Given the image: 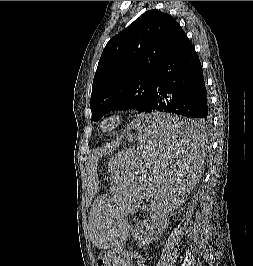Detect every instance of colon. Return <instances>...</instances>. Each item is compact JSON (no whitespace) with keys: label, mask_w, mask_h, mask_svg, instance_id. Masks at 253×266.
<instances>
[{"label":"colon","mask_w":253,"mask_h":266,"mask_svg":"<svg viewBox=\"0 0 253 266\" xmlns=\"http://www.w3.org/2000/svg\"><path fill=\"white\" fill-rule=\"evenodd\" d=\"M118 264V258L112 252L104 251L98 255L97 266H118Z\"/></svg>","instance_id":"colon-1"}]
</instances>
